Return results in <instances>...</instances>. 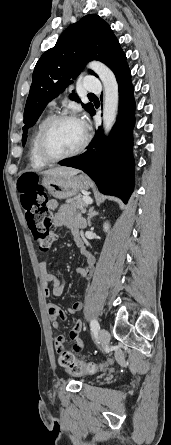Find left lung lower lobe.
Here are the masks:
<instances>
[{
  "mask_svg": "<svg viewBox=\"0 0 171 445\" xmlns=\"http://www.w3.org/2000/svg\"><path fill=\"white\" fill-rule=\"evenodd\" d=\"M119 84V115L108 142L101 128L82 155L61 160L60 165L84 171L103 194L115 195L127 203L134 189L132 130L135 102L127 64L115 73ZM95 115V109L90 113Z\"/></svg>",
  "mask_w": 171,
  "mask_h": 445,
  "instance_id": "obj_1",
  "label": "left lung lower lobe"
}]
</instances>
